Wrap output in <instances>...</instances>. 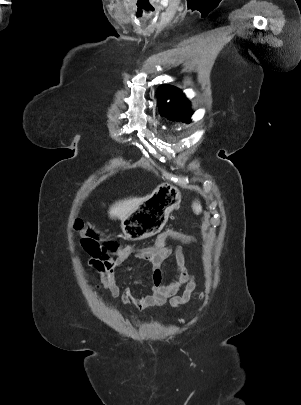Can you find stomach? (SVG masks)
I'll list each match as a JSON object with an SVG mask.
<instances>
[{
	"instance_id": "obj_1",
	"label": "stomach",
	"mask_w": 301,
	"mask_h": 405,
	"mask_svg": "<svg viewBox=\"0 0 301 405\" xmlns=\"http://www.w3.org/2000/svg\"><path fill=\"white\" fill-rule=\"evenodd\" d=\"M181 193L170 185H159L135 210L122 220L127 239L142 240L153 236L166 223L169 214L180 206Z\"/></svg>"
}]
</instances>
